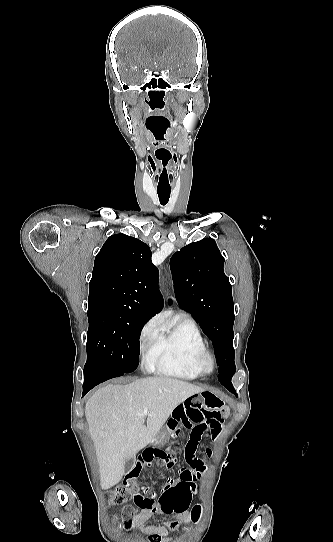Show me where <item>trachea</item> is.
I'll use <instances>...</instances> for the list:
<instances>
[{
  "mask_svg": "<svg viewBox=\"0 0 333 542\" xmlns=\"http://www.w3.org/2000/svg\"><path fill=\"white\" fill-rule=\"evenodd\" d=\"M170 192V189H157L158 197L162 205H166L168 203Z\"/></svg>",
  "mask_w": 333,
  "mask_h": 542,
  "instance_id": "obj_1",
  "label": "trachea"
}]
</instances>
